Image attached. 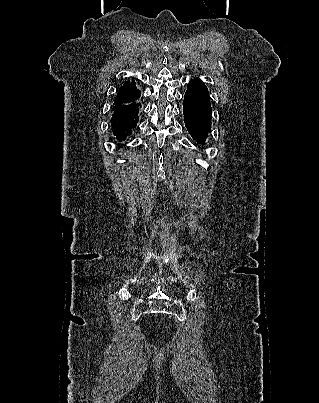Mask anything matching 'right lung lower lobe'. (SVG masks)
<instances>
[{"label":"right lung lower lobe","instance_id":"obj_1","mask_svg":"<svg viewBox=\"0 0 319 403\" xmlns=\"http://www.w3.org/2000/svg\"><path fill=\"white\" fill-rule=\"evenodd\" d=\"M141 92L127 99L122 103H117L113 107L111 119L112 132L117 140L124 141L139 121L138 113L141 108Z\"/></svg>","mask_w":319,"mask_h":403}]
</instances>
